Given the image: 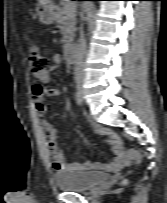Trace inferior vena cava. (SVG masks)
Returning a JSON list of instances; mask_svg holds the SVG:
<instances>
[{
  "label": "inferior vena cava",
  "mask_w": 167,
  "mask_h": 203,
  "mask_svg": "<svg viewBox=\"0 0 167 203\" xmlns=\"http://www.w3.org/2000/svg\"><path fill=\"white\" fill-rule=\"evenodd\" d=\"M85 55H86V40L83 31L81 30L78 45L76 48V62H75V73L77 77L81 79L83 78L84 74Z\"/></svg>",
  "instance_id": "obj_1"
}]
</instances>
